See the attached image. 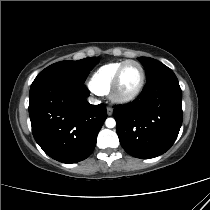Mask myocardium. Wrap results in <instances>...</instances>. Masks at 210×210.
Here are the masks:
<instances>
[{
  "label": "myocardium",
  "mask_w": 210,
  "mask_h": 210,
  "mask_svg": "<svg viewBox=\"0 0 210 210\" xmlns=\"http://www.w3.org/2000/svg\"><path fill=\"white\" fill-rule=\"evenodd\" d=\"M133 63L136 64L141 72V77H140V81L138 83V85L136 86L135 89H133L131 92L128 93H122L120 91V82H121V75L123 72V69L125 68L126 65ZM145 80H146V73H145V69L143 67V65L138 62L137 60H126L124 61L119 68L117 69L110 90H109V94H110V98L116 102V103H128L132 100H134L142 91L144 84H145Z\"/></svg>",
  "instance_id": "myocardium-1"
}]
</instances>
